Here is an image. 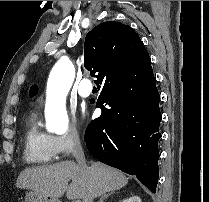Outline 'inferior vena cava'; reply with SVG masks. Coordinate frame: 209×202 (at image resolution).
I'll use <instances>...</instances> for the list:
<instances>
[{
	"label": "inferior vena cava",
	"mask_w": 209,
	"mask_h": 202,
	"mask_svg": "<svg viewBox=\"0 0 209 202\" xmlns=\"http://www.w3.org/2000/svg\"><path fill=\"white\" fill-rule=\"evenodd\" d=\"M73 156L75 157L80 169H81V172L83 174H87L88 172V167H87V164H86V160H85V156H84V152H83V149H82V146L80 144L79 141H77L75 143V147H74V151H73Z\"/></svg>",
	"instance_id": "obj_1"
}]
</instances>
